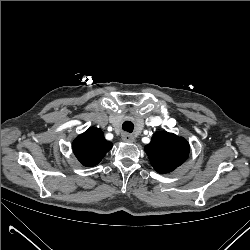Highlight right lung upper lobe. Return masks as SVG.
I'll return each instance as SVG.
<instances>
[{"mask_svg": "<svg viewBox=\"0 0 250 250\" xmlns=\"http://www.w3.org/2000/svg\"><path fill=\"white\" fill-rule=\"evenodd\" d=\"M112 148V143L104 138L103 132L90 127L73 141V152L84 166L97 165Z\"/></svg>", "mask_w": 250, "mask_h": 250, "instance_id": "right-lung-upper-lobe-1", "label": "right lung upper lobe"}]
</instances>
